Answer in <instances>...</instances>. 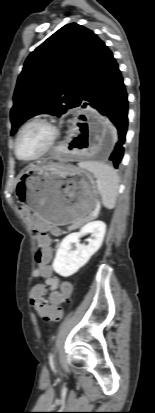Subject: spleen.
Returning <instances> with one entry per match:
<instances>
[{
	"label": "spleen",
	"mask_w": 155,
	"mask_h": 413,
	"mask_svg": "<svg viewBox=\"0 0 155 413\" xmlns=\"http://www.w3.org/2000/svg\"><path fill=\"white\" fill-rule=\"evenodd\" d=\"M79 167L91 172L97 182L101 203L107 209H113L118 195L119 177L114 168L108 164L85 161Z\"/></svg>",
	"instance_id": "3e777b00"
}]
</instances>
